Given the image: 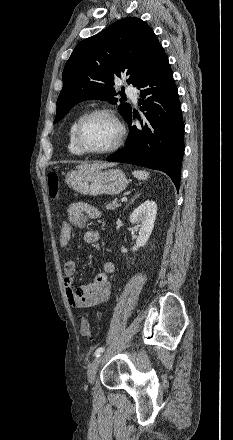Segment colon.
Segmentation results:
<instances>
[{
	"label": "colon",
	"instance_id": "1",
	"mask_svg": "<svg viewBox=\"0 0 233 440\" xmlns=\"http://www.w3.org/2000/svg\"><path fill=\"white\" fill-rule=\"evenodd\" d=\"M47 185L49 196L56 199L59 195V177L55 172H50L47 175ZM81 334L85 337H91V324L88 319L83 318L81 321Z\"/></svg>",
	"mask_w": 233,
	"mask_h": 440
}]
</instances>
